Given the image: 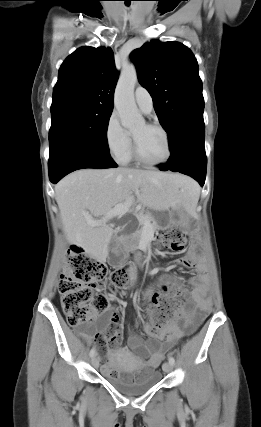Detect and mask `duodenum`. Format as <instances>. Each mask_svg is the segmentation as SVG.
Returning <instances> with one entry per match:
<instances>
[{"mask_svg":"<svg viewBox=\"0 0 261 427\" xmlns=\"http://www.w3.org/2000/svg\"><path fill=\"white\" fill-rule=\"evenodd\" d=\"M140 263L144 264L145 262H143V261H140Z\"/></svg>","mask_w":261,"mask_h":427,"instance_id":"duodenum-1","label":"duodenum"}]
</instances>
